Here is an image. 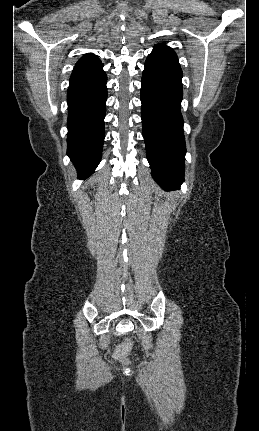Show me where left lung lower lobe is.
Here are the masks:
<instances>
[{
    "label": "left lung lower lobe",
    "mask_w": 259,
    "mask_h": 431,
    "mask_svg": "<svg viewBox=\"0 0 259 431\" xmlns=\"http://www.w3.org/2000/svg\"><path fill=\"white\" fill-rule=\"evenodd\" d=\"M182 76L173 49L155 45L142 74L141 118L152 176L165 189L178 188L184 181Z\"/></svg>",
    "instance_id": "1"
}]
</instances>
